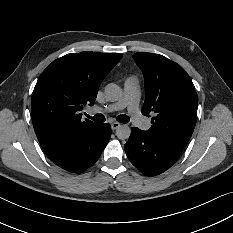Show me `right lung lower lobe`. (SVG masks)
<instances>
[{"label":"right lung lower lobe","mask_w":233,"mask_h":233,"mask_svg":"<svg viewBox=\"0 0 233 233\" xmlns=\"http://www.w3.org/2000/svg\"><path fill=\"white\" fill-rule=\"evenodd\" d=\"M111 135L108 123L80 135L63 147L46 153L50 160L70 172H83L100 157Z\"/></svg>","instance_id":"1"}]
</instances>
